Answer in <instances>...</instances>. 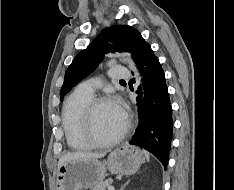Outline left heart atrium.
<instances>
[{"label":"left heart atrium","instance_id":"obj_1","mask_svg":"<svg viewBox=\"0 0 234 190\" xmlns=\"http://www.w3.org/2000/svg\"><path fill=\"white\" fill-rule=\"evenodd\" d=\"M110 104L112 105L113 109L118 114V116L121 119L125 120L126 119V111H125V108H124L122 101L118 98H115L112 101H110Z\"/></svg>","mask_w":234,"mask_h":190}]
</instances>
